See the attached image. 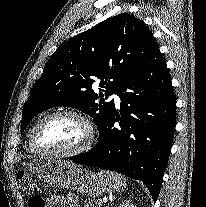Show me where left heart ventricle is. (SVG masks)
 I'll return each instance as SVG.
<instances>
[{
    "label": "left heart ventricle",
    "mask_w": 206,
    "mask_h": 207,
    "mask_svg": "<svg viewBox=\"0 0 206 207\" xmlns=\"http://www.w3.org/2000/svg\"><path fill=\"white\" fill-rule=\"evenodd\" d=\"M88 137L85 125L78 119L61 116L44 122L37 130L39 145L54 150H72L83 145Z\"/></svg>",
    "instance_id": "left-heart-ventricle-1"
}]
</instances>
